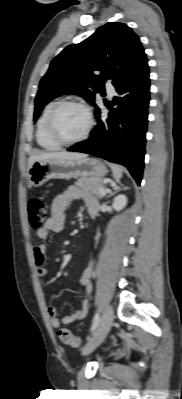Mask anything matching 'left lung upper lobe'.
Returning a JSON list of instances; mask_svg holds the SVG:
<instances>
[{
    "instance_id": "obj_1",
    "label": "left lung upper lobe",
    "mask_w": 182,
    "mask_h": 399,
    "mask_svg": "<svg viewBox=\"0 0 182 399\" xmlns=\"http://www.w3.org/2000/svg\"><path fill=\"white\" fill-rule=\"evenodd\" d=\"M146 61L139 37L127 25L110 22L101 26L81 43L67 46L51 61L35 98L34 121L44 105L62 93L84 95L98 113L95 94L103 89L105 81L110 79L117 87Z\"/></svg>"
}]
</instances>
